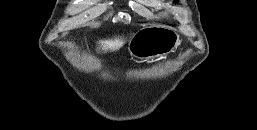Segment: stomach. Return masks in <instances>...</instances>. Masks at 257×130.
Instances as JSON below:
<instances>
[{"label": "stomach", "instance_id": "obj_1", "mask_svg": "<svg viewBox=\"0 0 257 130\" xmlns=\"http://www.w3.org/2000/svg\"><path fill=\"white\" fill-rule=\"evenodd\" d=\"M180 36L174 29L160 24H150L138 30L129 40L128 51L140 60L162 58L174 52Z\"/></svg>", "mask_w": 257, "mask_h": 130}]
</instances>
